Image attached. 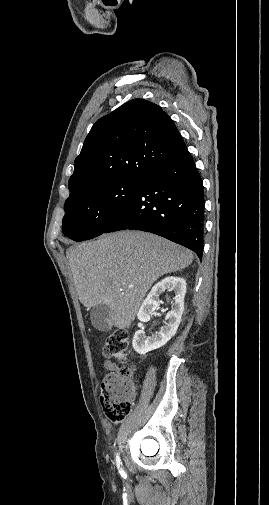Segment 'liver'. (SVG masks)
<instances>
[{
	"mask_svg": "<svg viewBox=\"0 0 269 505\" xmlns=\"http://www.w3.org/2000/svg\"><path fill=\"white\" fill-rule=\"evenodd\" d=\"M66 256L80 302L107 305L113 325L129 328L152 284L193 261L188 249L141 231H119L70 247Z\"/></svg>",
	"mask_w": 269,
	"mask_h": 505,
	"instance_id": "liver-1",
	"label": "liver"
}]
</instances>
